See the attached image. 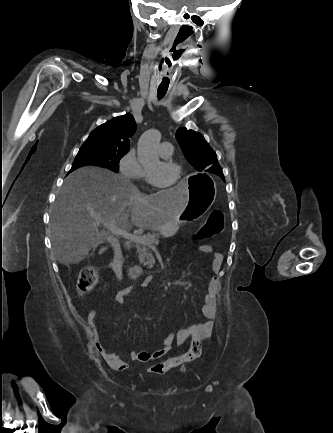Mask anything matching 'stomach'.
<instances>
[{
	"instance_id": "stomach-1",
	"label": "stomach",
	"mask_w": 333,
	"mask_h": 433,
	"mask_svg": "<svg viewBox=\"0 0 333 433\" xmlns=\"http://www.w3.org/2000/svg\"><path fill=\"white\" fill-rule=\"evenodd\" d=\"M186 183H191L189 190V201L186 202L180 215H176L174 220H169L160 230L163 235L170 232V228L178 225L195 224L196 218L207 212L215 202L217 189L215 181L205 173L186 174Z\"/></svg>"
}]
</instances>
